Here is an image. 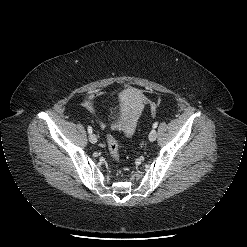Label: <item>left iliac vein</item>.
Segmentation results:
<instances>
[{
  "label": "left iliac vein",
  "mask_w": 247,
  "mask_h": 247,
  "mask_svg": "<svg viewBox=\"0 0 247 247\" xmlns=\"http://www.w3.org/2000/svg\"><path fill=\"white\" fill-rule=\"evenodd\" d=\"M156 138H157V132L155 129H152L149 133V140L153 142L156 140Z\"/></svg>",
  "instance_id": "4c4485c4"
}]
</instances>
